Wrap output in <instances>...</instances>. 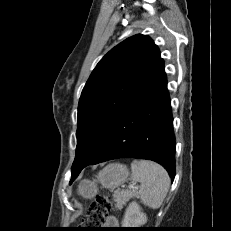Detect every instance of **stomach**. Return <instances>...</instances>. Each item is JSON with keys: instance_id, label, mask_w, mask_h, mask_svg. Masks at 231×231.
I'll return each mask as SVG.
<instances>
[{"instance_id": "stomach-1", "label": "stomach", "mask_w": 231, "mask_h": 231, "mask_svg": "<svg viewBox=\"0 0 231 231\" xmlns=\"http://www.w3.org/2000/svg\"><path fill=\"white\" fill-rule=\"evenodd\" d=\"M128 174L126 166L122 164H110L98 174V181L83 180L79 185L78 192L84 198L91 199L99 191L97 182L101 183L103 187L113 190L126 181Z\"/></svg>"}]
</instances>
